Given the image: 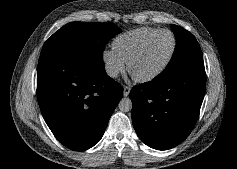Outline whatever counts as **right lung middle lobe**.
Instances as JSON below:
<instances>
[{
	"mask_svg": "<svg viewBox=\"0 0 237 169\" xmlns=\"http://www.w3.org/2000/svg\"><path fill=\"white\" fill-rule=\"evenodd\" d=\"M121 30L110 23L71 22L55 32L44 44L42 55L103 57L107 42Z\"/></svg>",
	"mask_w": 237,
	"mask_h": 169,
	"instance_id": "obj_1",
	"label": "right lung middle lobe"
}]
</instances>
